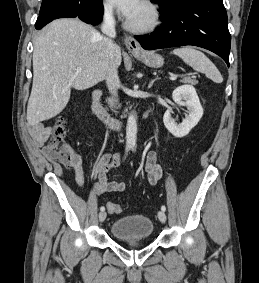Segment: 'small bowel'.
Returning <instances> with one entry per match:
<instances>
[{"label":"small bowel","mask_w":259,"mask_h":283,"mask_svg":"<svg viewBox=\"0 0 259 283\" xmlns=\"http://www.w3.org/2000/svg\"><path fill=\"white\" fill-rule=\"evenodd\" d=\"M53 132L52 126H44L43 123L38 122L31 124L29 127V134L36 147H42L49 139ZM121 155L112 156L109 153L101 155L99 162L92 169L89 179H96L97 182L91 185L92 190L97 195H104L111 192H122L126 189V183L123 181L110 180L107 177L108 172L120 165ZM76 181L79 186H84L86 179L81 162L73 166ZM145 169L148 174V181L151 185H155L162 177V169L157 161V155L151 151L147 154Z\"/></svg>","instance_id":"small-bowel-1"}]
</instances>
